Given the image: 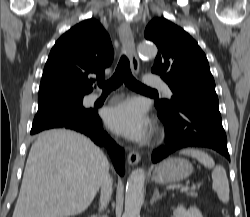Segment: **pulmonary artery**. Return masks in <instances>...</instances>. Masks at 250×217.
<instances>
[{
	"label": "pulmonary artery",
	"mask_w": 250,
	"mask_h": 217,
	"mask_svg": "<svg viewBox=\"0 0 250 217\" xmlns=\"http://www.w3.org/2000/svg\"><path fill=\"white\" fill-rule=\"evenodd\" d=\"M144 82L147 84V86L152 87V88H157L162 90L167 96H171L172 95V91L169 88V86L167 85V83H165L162 80L159 79H155L149 76H146L144 79ZM99 98V95H91L89 97V101L90 102H94Z\"/></svg>",
	"instance_id": "obj_1"
}]
</instances>
